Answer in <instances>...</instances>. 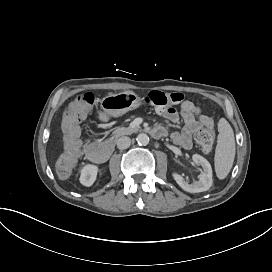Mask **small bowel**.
<instances>
[{
	"label": "small bowel",
	"mask_w": 272,
	"mask_h": 272,
	"mask_svg": "<svg viewBox=\"0 0 272 272\" xmlns=\"http://www.w3.org/2000/svg\"><path fill=\"white\" fill-rule=\"evenodd\" d=\"M157 112L174 124L178 123L180 118L183 119L184 124L182 129L180 131H174L171 137L176 145L184 149L192 148L193 135L202 130L206 122L213 121L211 117L202 113L201 108L197 104L190 100L182 101L179 106V111L173 108H158ZM155 128L164 129L160 126Z\"/></svg>",
	"instance_id": "obj_1"
}]
</instances>
